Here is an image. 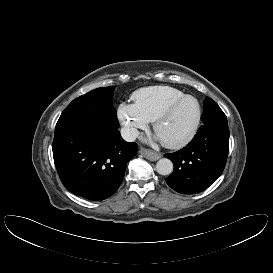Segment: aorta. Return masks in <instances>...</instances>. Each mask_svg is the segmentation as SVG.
I'll return each instance as SVG.
<instances>
[{"instance_id":"1","label":"aorta","mask_w":273,"mask_h":273,"mask_svg":"<svg viewBox=\"0 0 273 273\" xmlns=\"http://www.w3.org/2000/svg\"><path fill=\"white\" fill-rule=\"evenodd\" d=\"M156 170L161 175H170L173 171V163L167 158H162L157 162Z\"/></svg>"}]
</instances>
